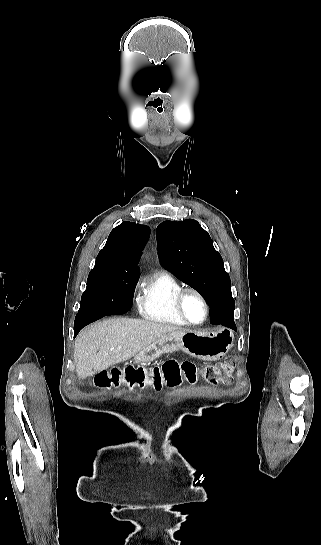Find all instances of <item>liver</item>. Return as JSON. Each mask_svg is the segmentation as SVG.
<instances>
[{
	"label": "liver",
	"mask_w": 321,
	"mask_h": 545,
	"mask_svg": "<svg viewBox=\"0 0 321 545\" xmlns=\"http://www.w3.org/2000/svg\"><path fill=\"white\" fill-rule=\"evenodd\" d=\"M184 331L186 329L166 323L122 317L93 323L80 331L75 339L74 361L77 377L86 379L90 375L105 371L108 367L135 357L160 337Z\"/></svg>",
	"instance_id": "obj_1"
}]
</instances>
